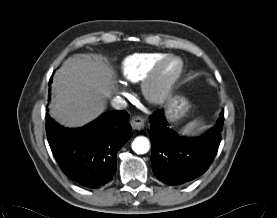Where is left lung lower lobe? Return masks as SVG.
Here are the masks:
<instances>
[{
  "label": "left lung lower lobe",
  "mask_w": 277,
  "mask_h": 218,
  "mask_svg": "<svg viewBox=\"0 0 277 218\" xmlns=\"http://www.w3.org/2000/svg\"><path fill=\"white\" fill-rule=\"evenodd\" d=\"M149 119L151 163L159 180L168 185H179L197 178L209 168L221 142L223 111L215 126L197 138H186L172 132L162 110Z\"/></svg>",
  "instance_id": "left-lung-lower-lobe-1"
}]
</instances>
